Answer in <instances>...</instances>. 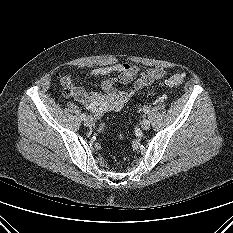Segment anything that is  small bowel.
Segmentation results:
<instances>
[{
	"label": "small bowel",
	"instance_id": "obj_1",
	"mask_svg": "<svg viewBox=\"0 0 233 233\" xmlns=\"http://www.w3.org/2000/svg\"><path fill=\"white\" fill-rule=\"evenodd\" d=\"M116 73L117 77L108 78L101 84L102 93L88 92L75 84L70 77L62 78L63 85L69 94L96 116H101L108 111L120 110L138 91L154 84L168 74V70L161 67L151 68L146 71L129 63H118L95 68L91 76H106ZM117 83L130 85L128 90L117 87Z\"/></svg>",
	"mask_w": 233,
	"mask_h": 233
}]
</instances>
